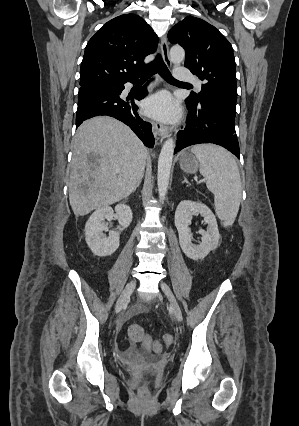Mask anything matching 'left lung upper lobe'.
<instances>
[{
    "mask_svg": "<svg viewBox=\"0 0 299 426\" xmlns=\"http://www.w3.org/2000/svg\"><path fill=\"white\" fill-rule=\"evenodd\" d=\"M168 38L185 49L184 66L204 82L201 92L188 99L194 103L217 101L236 110L235 59L228 40L214 26L193 16L177 23Z\"/></svg>",
    "mask_w": 299,
    "mask_h": 426,
    "instance_id": "1",
    "label": "left lung upper lobe"
}]
</instances>
